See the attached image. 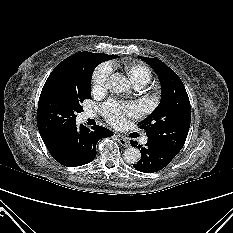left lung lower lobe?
Returning <instances> with one entry per match:
<instances>
[{
  "label": "left lung lower lobe",
  "instance_id": "1",
  "mask_svg": "<svg viewBox=\"0 0 233 233\" xmlns=\"http://www.w3.org/2000/svg\"><path fill=\"white\" fill-rule=\"evenodd\" d=\"M130 143L133 147L141 149V159L133 164L134 168L141 172H157L167 166L177 155L153 140L148 139L145 147H141L133 140Z\"/></svg>",
  "mask_w": 233,
  "mask_h": 233
}]
</instances>
